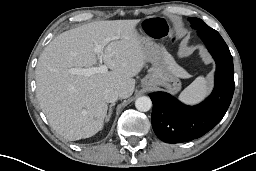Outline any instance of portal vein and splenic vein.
Segmentation results:
<instances>
[{"mask_svg": "<svg viewBox=\"0 0 256 171\" xmlns=\"http://www.w3.org/2000/svg\"><path fill=\"white\" fill-rule=\"evenodd\" d=\"M94 51L100 55L101 59H105L106 56L103 53V46L102 45H96ZM108 71L107 65L103 64L99 67H90V68H72L71 73L72 74H79V75H85V76H91L97 73H105Z\"/></svg>", "mask_w": 256, "mask_h": 171, "instance_id": "obj_1", "label": "portal vein and splenic vein"}]
</instances>
